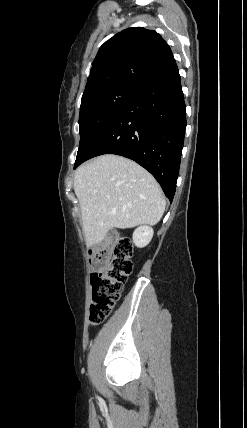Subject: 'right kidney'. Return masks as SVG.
I'll list each match as a JSON object with an SVG mask.
<instances>
[{"label": "right kidney", "instance_id": "right-kidney-1", "mask_svg": "<svg viewBox=\"0 0 247 428\" xmlns=\"http://www.w3.org/2000/svg\"><path fill=\"white\" fill-rule=\"evenodd\" d=\"M153 229L148 226H141L137 228L133 233V243L139 247L143 248L147 246L152 237H153Z\"/></svg>", "mask_w": 247, "mask_h": 428}]
</instances>
